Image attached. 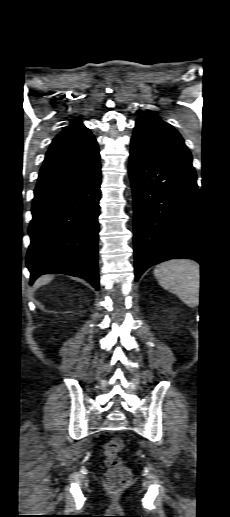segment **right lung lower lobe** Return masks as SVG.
<instances>
[{
    "label": "right lung lower lobe",
    "mask_w": 230,
    "mask_h": 517,
    "mask_svg": "<svg viewBox=\"0 0 230 517\" xmlns=\"http://www.w3.org/2000/svg\"><path fill=\"white\" fill-rule=\"evenodd\" d=\"M100 184L99 163L73 178L35 188L26 258L31 284L42 274L63 273L99 289Z\"/></svg>",
    "instance_id": "1"
}]
</instances>
